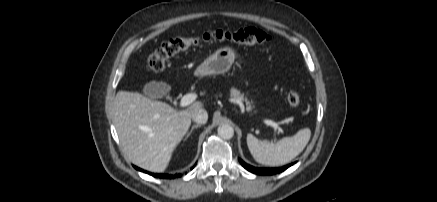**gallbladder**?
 I'll return each mask as SVG.
<instances>
[{"mask_svg": "<svg viewBox=\"0 0 437 202\" xmlns=\"http://www.w3.org/2000/svg\"><path fill=\"white\" fill-rule=\"evenodd\" d=\"M169 85L164 82L151 81L145 84L143 94L150 99L162 98L167 94Z\"/></svg>", "mask_w": 437, "mask_h": 202, "instance_id": "1", "label": "gallbladder"}]
</instances>
